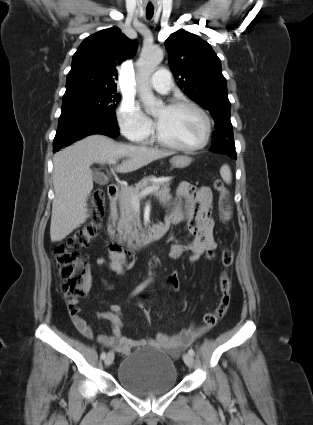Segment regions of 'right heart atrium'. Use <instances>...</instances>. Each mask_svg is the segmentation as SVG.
<instances>
[{
    "instance_id": "right-heart-atrium-1",
    "label": "right heart atrium",
    "mask_w": 313,
    "mask_h": 425,
    "mask_svg": "<svg viewBox=\"0 0 313 425\" xmlns=\"http://www.w3.org/2000/svg\"><path fill=\"white\" fill-rule=\"evenodd\" d=\"M117 120L121 132L131 141L145 142L151 134V124L133 100L122 101Z\"/></svg>"
}]
</instances>
